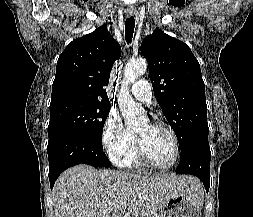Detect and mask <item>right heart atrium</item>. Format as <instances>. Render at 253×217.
<instances>
[{
	"instance_id": "1",
	"label": "right heart atrium",
	"mask_w": 253,
	"mask_h": 217,
	"mask_svg": "<svg viewBox=\"0 0 253 217\" xmlns=\"http://www.w3.org/2000/svg\"><path fill=\"white\" fill-rule=\"evenodd\" d=\"M102 140L107 154L114 162L129 151L135 142V135L127 129L116 112H110L105 120Z\"/></svg>"
}]
</instances>
